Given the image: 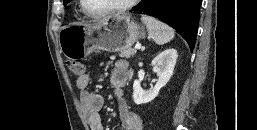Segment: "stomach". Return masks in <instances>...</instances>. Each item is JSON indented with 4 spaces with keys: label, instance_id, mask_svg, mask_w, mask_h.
<instances>
[{
    "label": "stomach",
    "instance_id": "0dacf381",
    "mask_svg": "<svg viewBox=\"0 0 257 130\" xmlns=\"http://www.w3.org/2000/svg\"><path fill=\"white\" fill-rule=\"evenodd\" d=\"M144 28L128 14L109 16L96 24H69L59 32L60 51L81 60L96 50L117 52L145 38Z\"/></svg>",
    "mask_w": 257,
    "mask_h": 130
}]
</instances>
